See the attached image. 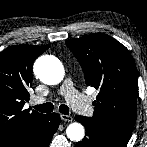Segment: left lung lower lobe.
I'll use <instances>...</instances> for the list:
<instances>
[{
    "label": "left lung lower lobe",
    "instance_id": "left-lung-lower-lobe-1",
    "mask_svg": "<svg viewBox=\"0 0 147 147\" xmlns=\"http://www.w3.org/2000/svg\"><path fill=\"white\" fill-rule=\"evenodd\" d=\"M75 119L86 128L85 137L75 147H126V144L119 143L103 128L93 124L88 117L78 115Z\"/></svg>",
    "mask_w": 147,
    "mask_h": 147
}]
</instances>
